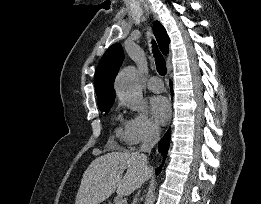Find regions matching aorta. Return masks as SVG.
<instances>
[{"mask_svg":"<svg viewBox=\"0 0 261 204\" xmlns=\"http://www.w3.org/2000/svg\"><path fill=\"white\" fill-rule=\"evenodd\" d=\"M115 88L118 97L125 101L130 109L133 111L142 109L143 94L134 66H128L119 72L116 77Z\"/></svg>","mask_w":261,"mask_h":204,"instance_id":"obj_1","label":"aorta"}]
</instances>
